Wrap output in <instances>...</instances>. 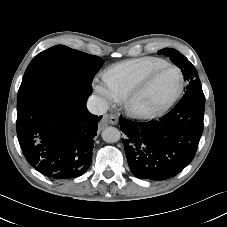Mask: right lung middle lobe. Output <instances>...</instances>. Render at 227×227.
<instances>
[{
  "mask_svg": "<svg viewBox=\"0 0 227 227\" xmlns=\"http://www.w3.org/2000/svg\"><path fill=\"white\" fill-rule=\"evenodd\" d=\"M103 62L98 56L63 45L44 50L27 67L17 102L49 87L92 93V80Z\"/></svg>",
  "mask_w": 227,
  "mask_h": 227,
  "instance_id": "obj_1",
  "label": "right lung middle lobe"
}]
</instances>
